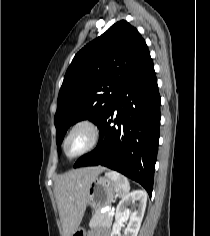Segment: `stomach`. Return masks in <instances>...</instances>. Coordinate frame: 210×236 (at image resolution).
Segmentation results:
<instances>
[{
	"label": "stomach",
	"mask_w": 210,
	"mask_h": 236,
	"mask_svg": "<svg viewBox=\"0 0 210 236\" xmlns=\"http://www.w3.org/2000/svg\"><path fill=\"white\" fill-rule=\"evenodd\" d=\"M116 192L115 182L108 176L96 177L89 186L87 192V205L95 210H100L111 205ZM72 236H86L83 228H78Z\"/></svg>",
	"instance_id": "obj_1"
}]
</instances>
